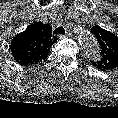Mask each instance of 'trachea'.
Returning a JSON list of instances; mask_svg holds the SVG:
<instances>
[{"label":"trachea","instance_id":"1","mask_svg":"<svg viewBox=\"0 0 118 118\" xmlns=\"http://www.w3.org/2000/svg\"><path fill=\"white\" fill-rule=\"evenodd\" d=\"M53 34H61L64 35L65 34V29L63 27H58L53 31Z\"/></svg>","mask_w":118,"mask_h":118}]
</instances>
